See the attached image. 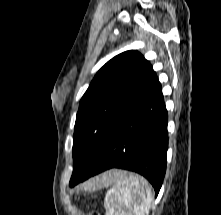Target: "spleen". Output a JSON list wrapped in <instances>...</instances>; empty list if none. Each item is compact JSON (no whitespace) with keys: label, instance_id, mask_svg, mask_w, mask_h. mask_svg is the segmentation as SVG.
Returning a JSON list of instances; mask_svg holds the SVG:
<instances>
[{"label":"spleen","instance_id":"3e777b00","mask_svg":"<svg viewBox=\"0 0 221 215\" xmlns=\"http://www.w3.org/2000/svg\"><path fill=\"white\" fill-rule=\"evenodd\" d=\"M106 198V215H148L151 186L142 177L115 171Z\"/></svg>","mask_w":221,"mask_h":215}]
</instances>
